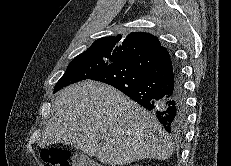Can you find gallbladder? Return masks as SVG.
<instances>
[{
  "label": "gallbladder",
  "instance_id": "gallbladder-1",
  "mask_svg": "<svg viewBox=\"0 0 231 166\" xmlns=\"http://www.w3.org/2000/svg\"><path fill=\"white\" fill-rule=\"evenodd\" d=\"M92 161L84 155H75L73 157V166H90Z\"/></svg>",
  "mask_w": 231,
  "mask_h": 166
}]
</instances>
